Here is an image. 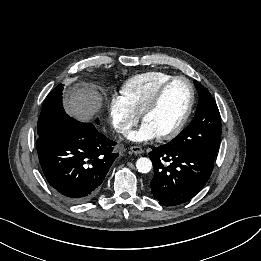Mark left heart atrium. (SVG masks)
I'll use <instances>...</instances> for the list:
<instances>
[{"mask_svg": "<svg viewBox=\"0 0 261 261\" xmlns=\"http://www.w3.org/2000/svg\"><path fill=\"white\" fill-rule=\"evenodd\" d=\"M158 135L147 124H143L141 128L130 135V139L138 142L149 141L157 138Z\"/></svg>", "mask_w": 261, "mask_h": 261, "instance_id": "39dd6f15", "label": "left heart atrium"}]
</instances>
